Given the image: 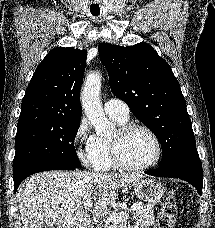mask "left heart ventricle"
Masks as SVG:
<instances>
[{"label": "left heart ventricle", "instance_id": "left-heart-ventricle-1", "mask_svg": "<svg viewBox=\"0 0 215 228\" xmlns=\"http://www.w3.org/2000/svg\"><path fill=\"white\" fill-rule=\"evenodd\" d=\"M154 151L152 139L147 132L139 128L131 130L120 142L121 157L132 166L146 163L152 158Z\"/></svg>", "mask_w": 215, "mask_h": 228}]
</instances>
